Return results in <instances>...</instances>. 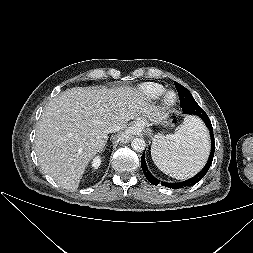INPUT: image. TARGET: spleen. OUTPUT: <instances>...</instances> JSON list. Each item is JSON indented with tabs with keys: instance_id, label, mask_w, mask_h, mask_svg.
I'll return each mask as SVG.
<instances>
[{
	"instance_id": "1",
	"label": "spleen",
	"mask_w": 253,
	"mask_h": 253,
	"mask_svg": "<svg viewBox=\"0 0 253 253\" xmlns=\"http://www.w3.org/2000/svg\"><path fill=\"white\" fill-rule=\"evenodd\" d=\"M209 149V136L203 122L188 117L175 133L154 137L151 156L166 175L186 179L203 168Z\"/></svg>"
}]
</instances>
